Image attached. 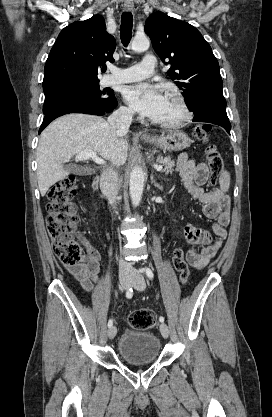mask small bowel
<instances>
[{
	"instance_id": "small-bowel-1",
	"label": "small bowel",
	"mask_w": 272,
	"mask_h": 417,
	"mask_svg": "<svg viewBox=\"0 0 272 417\" xmlns=\"http://www.w3.org/2000/svg\"><path fill=\"white\" fill-rule=\"evenodd\" d=\"M177 170L187 191L202 204L203 215L215 220L211 232L192 224H188L184 229V236L189 244L202 246L200 251L190 249L186 255V262L192 268L201 270L218 253L227 238L226 228L230 223L228 194L230 177L227 172H223L218 186L211 191H206L204 186L210 177L207 165L197 163L186 154L180 155ZM84 245L87 251L84 262L78 265H66V268L81 287L92 294L95 291V285L99 282L100 254L89 243L85 242Z\"/></svg>"
}]
</instances>
